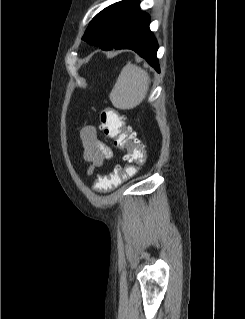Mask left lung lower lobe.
<instances>
[{
	"label": "left lung lower lobe",
	"mask_w": 245,
	"mask_h": 319,
	"mask_svg": "<svg viewBox=\"0 0 245 319\" xmlns=\"http://www.w3.org/2000/svg\"><path fill=\"white\" fill-rule=\"evenodd\" d=\"M150 17L147 13L138 11L124 27L116 41L103 50L132 49L159 72L158 59L156 57L158 44L149 29Z\"/></svg>",
	"instance_id": "obj_1"
}]
</instances>
